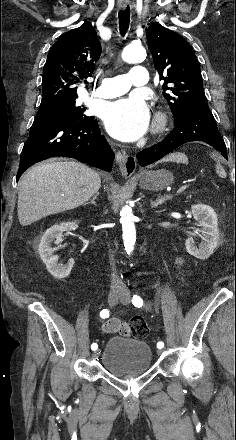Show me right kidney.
Segmentation results:
<instances>
[{
    "label": "right kidney",
    "instance_id": "right-kidney-1",
    "mask_svg": "<svg viewBox=\"0 0 236 440\" xmlns=\"http://www.w3.org/2000/svg\"><path fill=\"white\" fill-rule=\"evenodd\" d=\"M78 228L75 222H65L60 225H53L49 228L41 238L38 250L42 261L45 263L48 272L56 279L66 278L74 265V259H69L67 264L59 265L58 257L53 255L51 244H59L61 242L63 232L71 231Z\"/></svg>",
    "mask_w": 236,
    "mask_h": 440
}]
</instances>
